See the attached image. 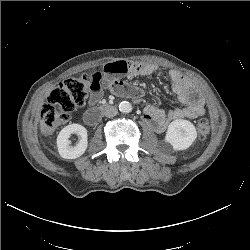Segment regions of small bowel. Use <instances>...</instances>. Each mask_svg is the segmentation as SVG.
Instances as JSON below:
<instances>
[{
	"instance_id": "small-bowel-1",
	"label": "small bowel",
	"mask_w": 250,
	"mask_h": 250,
	"mask_svg": "<svg viewBox=\"0 0 250 250\" xmlns=\"http://www.w3.org/2000/svg\"><path fill=\"white\" fill-rule=\"evenodd\" d=\"M155 70L156 67L152 64L138 62L117 61L105 64L100 71L91 74L90 103L98 102L104 90L123 96H141L143 94L141 89L129 87L123 79L151 75ZM169 75L172 91L184 106L167 112L155 106H147L145 120L156 132H163L171 121L197 118L205 112L204 100L196 87L179 72L171 71Z\"/></svg>"
}]
</instances>
